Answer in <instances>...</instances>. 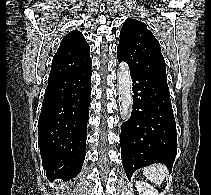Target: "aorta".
<instances>
[{
	"mask_svg": "<svg viewBox=\"0 0 211 195\" xmlns=\"http://www.w3.org/2000/svg\"><path fill=\"white\" fill-rule=\"evenodd\" d=\"M117 82L120 115L124 121H127L131 116L133 98L130 70L126 62H121L119 65Z\"/></svg>",
	"mask_w": 211,
	"mask_h": 195,
	"instance_id": "obj_1",
	"label": "aorta"
}]
</instances>
